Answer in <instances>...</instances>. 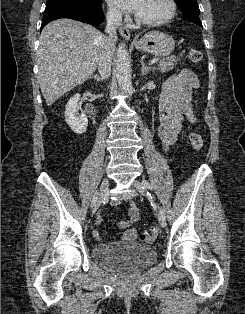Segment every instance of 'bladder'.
Segmentation results:
<instances>
[{"label":"bladder","mask_w":245,"mask_h":314,"mask_svg":"<svg viewBox=\"0 0 245 314\" xmlns=\"http://www.w3.org/2000/svg\"><path fill=\"white\" fill-rule=\"evenodd\" d=\"M92 253L96 263L125 276L140 273L157 260L154 248L139 243L100 244Z\"/></svg>","instance_id":"31cf9c89"}]
</instances>
